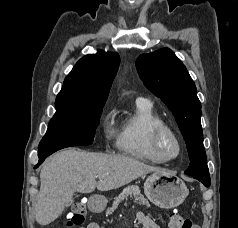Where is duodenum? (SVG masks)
<instances>
[{"mask_svg": "<svg viewBox=\"0 0 238 228\" xmlns=\"http://www.w3.org/2000/svg\"><path fill=\"white\" fill-rule=\"evenodd\" d=\"M103 205V199L100 197H94L90 202V207L93 210H100Z\"/></svg>", "mask_w": 238, "mask_h": 228, "instance_id": "obj_1", "label": "duodenum"}]
</instances>
